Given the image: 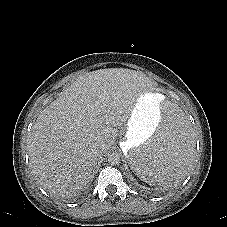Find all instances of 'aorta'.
Returning <instances> with one entry per match:
<instances>
[{"instance_id":"1","label":"aorta","mask_w":227,"mask_h":227,"mask_svg":"<svg viewBox=\"0 0 227 227\" xmlns=\"http://www.w3.org/2000/svg\"><path fill=\"white\" fill-rule=\"evenodd\" d=\"M120 161V156L117 153H112L108 156V162L111 165H118Z\"/></svg>"}]
</instances>
